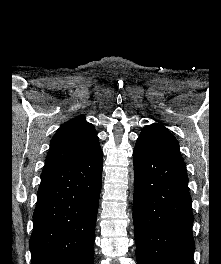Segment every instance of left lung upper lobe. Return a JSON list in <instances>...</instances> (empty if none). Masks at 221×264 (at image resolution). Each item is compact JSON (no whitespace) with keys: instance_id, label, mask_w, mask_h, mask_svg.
Returning <instances> with one entry per match:
<instances>
[{"instance_id":"obj_1","label":"left lung upper lobe","mask_w":221,"mask_h":264,"mask_svg":"<svg viewBox=\"0 0 221 264\" xmlns=\"http://www.w3.org/2000/svg\"><path fill=\"white\" fill-rule=\"evenodd\" d=\"M137 142L155 148L165 155L183 160L177 140L167 128L160 124L155 123L144 127Z\"/></svg>"}]
</instances>
